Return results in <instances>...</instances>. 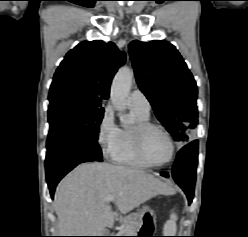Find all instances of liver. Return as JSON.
<instances>
[{"mask_svg":"<svg viewBox=\"0 0 248 237\" xmlns=\"http://www.w3.org/2000/svg\"><path fill=\"white\" fill-rule=\"evenodd\" d=\"M166 183L142 170L108 163H84L58 184L54 209L59 236H103L112 228L115 213L108 195L115 196L117 209L126 214L159 194H173Z\"/></svg>","mask_w":248,"mask_h":237,"instance_id":"liver-1","label":"liver"}]
</instances>
